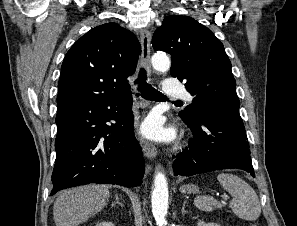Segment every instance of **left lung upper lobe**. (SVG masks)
Instances as JSON below:
<instances>
[{"label": "left lung upper lobe", "mask_w": 297, "mask_h": 226, "mask_svg": "<svg viewBox=\"0 0 297 226\" xmlns=\"http://www.w3.org/2000/svg\"><path fill=\"white\" fill-rule=\"evenodd\" d=\"M155 50L171 54V76L186 81L194 96L179 115L196 120L213 112L239 115L240 102L231 62L223 44L213 32L187 16H168L152 38Z\"/></svg>", "instance_id": "1"}]
</instances>
